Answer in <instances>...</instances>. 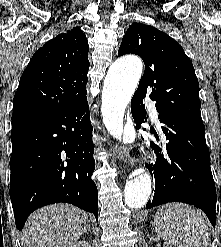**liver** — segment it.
<instances>
[{
    "label": "liver",
    "mask_w": 221,
    "mask_h": 247,
    "mask_svg": "<svg viewBox=\"0 0 221 247\" xmlns=\"http://www.w3.org/2000/svg\"><path fill=\"white\" fill-rule=\"evenodd\" d=\"M89 227L87 213L69 204L35 211L22 231L23 247H72Z\"/></svg>",
    "instance_id": "6515ba94"
}]
</instances>
